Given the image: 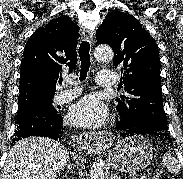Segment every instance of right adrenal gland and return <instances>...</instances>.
<instances>
[{"label": "right adrenal gland", "instance_id": "right-adrenal-gland-1", "mask_svg": "<svg viewBox=\"0 0 183 179\" xmlns=\"http://www.w3.org/2000/svg\"><path fill=\"white\" fill-rule=\"evenodd\" d=\"M66 172H71L73 174V166L71 165L70 162H68L67 167H66Z\"/></svg>", "mask_w": 183, "mask_h": 179}]
</instances>
